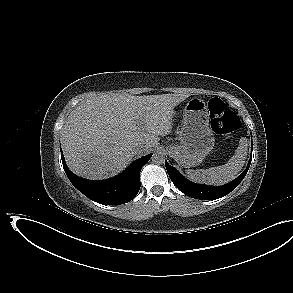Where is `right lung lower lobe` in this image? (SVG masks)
Here are the masks:
<instances>
[{
	"label": "right lung lower lobe",
	"instance_id": "98d812e1",
	"mask_svg": "<svg viewBox=\"0 0 293 293\" xmlns=\"http://www.w3.org/2000/svg\"><path fill=\"white\" fill-rule=\"evenodd\" d=\"M151 156L152 153L137 159L121 174L102 181L76 176L67 167L63 155L61 159L69 180L86 197L103 205H119L131 201L139 192L140 170Z\"/></svg>",
	"mask_w": 293,
	"mask_h": 293
}]
</instances>
